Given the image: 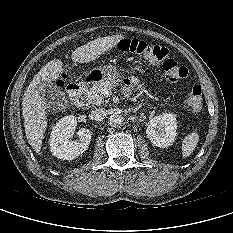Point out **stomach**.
Listing matches in <instances>:
<instances>
[{
  "label": "stomach",
  "instance_id": "0dacf381",
  "mask_svg": "<svg viewBox=\"0 0 233 233\" xmlns=\"http://www.w3.org/2000/svg\"><path fill=\"white\" fill-rule=\"evenodd\" d=\"M91 74L96 83L115 82L120 77L118 68L114 65L107 64L100 68H95Z\"/></svg>",
  "mask_w": 233,
  "mask_h": 233
}]
</instances>
